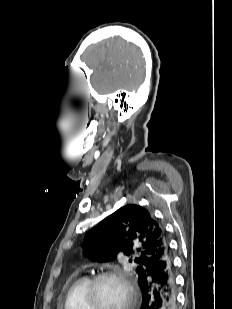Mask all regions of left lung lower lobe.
<instances>
[{
    "label": "left lung lower lobe",
    "mask_w": 232,
    "mask_h": 309,
    "mask_svg": "<svg viewBox=\"0 0 232 309\" xmlns=\"http://www.w3.org/2000/svg\"><path fill=\"white\" fill-rule=\"evenodd\" d=\"M140 288V309H176L175 272L169 250L151 265L140 283Z\"/></svg>",
    "instance_id": "obj_1"
}]
</instances>
